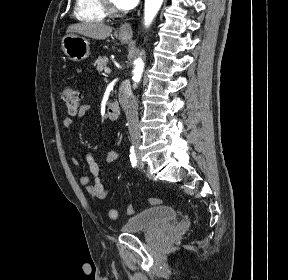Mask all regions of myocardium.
Wrapping results in <instances>:
<instances>
[{
    "label": "myocardium",
    "mask_w": 288,
    "mask_h": 280,
    "mask_svg": "<svg viewBox=\"0 0 288 280\" xmlns=\"http://www.w3.org/2000/svg\"><path fill=\"white\" fill-rule=\"evenodd\" d=\"M103 7L105 9V12L108 14H115L116 8L114 6V2L112 0H101Z\"/></svg>",
    "instance_id": "f54148a6"
}]
</instances>
